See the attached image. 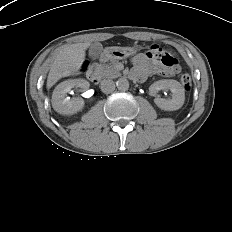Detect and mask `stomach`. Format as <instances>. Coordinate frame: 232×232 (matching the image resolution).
<instances>
[{
	"label": "stomach",
	"mask_w": 232,
	"mask_h": 232,
	"mask_svg": "<svg viewBox=\"0 0 232 232\" xmlns=\"http://www.w3.org/2000/svg\"><path fill=\"white\" fill-rule=\"evenodd\" d=\"M136 52V49L124 48V47H108L104 50L102 58L104 61H116L125 59Z\"/></svg>",
	"instance_id": "obj_1"
}]
</instances>
